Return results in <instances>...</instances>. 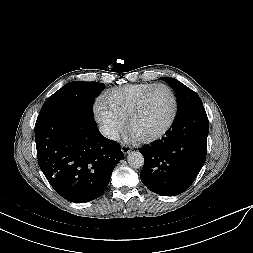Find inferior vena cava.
<instances>
[{
    "label": "inferior vena cava",
    "instance_id": "inferior-vena-cava-1",
    "mask_svg": "<svg viewBox=\"0 0 253 253\" xmlns=\"http://www.w3.org/2000/svg\"><path fill=\"white\" fill-rule=\"evenodd\" d=\"M99 131L101 135L104 137L111 139V140H118L119 139V133L114 128L108 126V125H101L99 127Z\"/></svg>",
    "mask_w": 253,
    "mask_h": 253
}]
</instances>
